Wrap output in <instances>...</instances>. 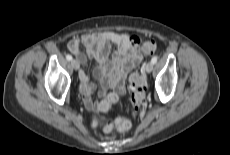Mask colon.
Returning a JSON list of instances; mask_svg holds the SVG:
<instances>
[{"mask_svg": "<svg viewBox=\"0 0 230 155\" xmlns=\"http://www.w3.org/2000/svg\"><path fill=\"white\" fill-rule=\"evenodd\" d=\"M142 50L147 54H153L156 50V43L154 41L144 42L142 44ZM130 92L132 113L133 115H137L146 104V86L141 73H135L132 75L130 79ZM115 102L116 99L114 97L109 99L110 104H114ZM94 124L102 127L105 132H111L113 129H116L122 133L130 130L132 126L129 120L123 118H117L109 122H104L100 118H95Z\"/></svg>", "mask_w": 230, "mask_h": 155, "instance_id": "1", "label": "colon"}]
</instances>
